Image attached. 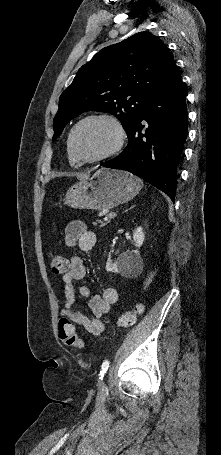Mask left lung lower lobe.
<instances>
[{
    "instance_id": "0a47b994",
    "label": "left lung lower lobe",
    "mask_w": 221,
    "mask_h": 455,
    "mask_svg": "<svg viewBox=\"0 0 221 455\" xmlns=\"http://www.w3.org/2000/svg\"><path fill=\"white\" fill-rule=\"evenodd\" d=\"M187 120L184 85L174 65L139 112L127 147L101 166L129 171L174 200Z\"/></svg>"
}]
</instances>
